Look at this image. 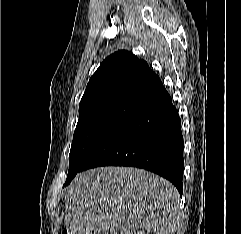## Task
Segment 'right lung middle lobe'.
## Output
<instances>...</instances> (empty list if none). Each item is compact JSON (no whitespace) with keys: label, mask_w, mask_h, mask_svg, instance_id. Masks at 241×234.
Listing matches in <instances>:
<instances>
[{"label":"right lung middle lobe","mask_w":241,"mask_h":234,"mask_svg":"<svg viewBox=\"0 0 241 234\" xmlns=\"http://www.w3.org/2000/svg\"><path fill=\"white\" fill-rule=\"evenodd\" d=\"M137 104L110 102L79 110L69 155V171L64 186L81 171L84 160L99 142L122 121Z\"/></svg>","instance_id":"right-lung-middle-lobe-1"}]
</instances>
